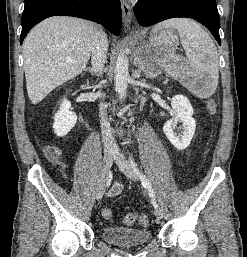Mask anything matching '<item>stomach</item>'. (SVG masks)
Returning <instances> with one entry per match:
<instances>
[{"label": "stomach", "mask_w": 247, "mask_h": 257, "mask_svg": "<svg viewBox=\"0 0 247 257\" xmlns=\"http://www.w3.org/2000/svg\"><path fill=\"white\" fill-rule=\"evenodd\" d=\"M145 38L144 33L139 36L140 47L135 51V61L143 71L148 72L159 63L169 69L173 77L181 79L188 88L194 89L197 86L198 82L193 80L187 63L176 57L177 35L171 28L153 31L147 41Z\"/></svg>", "instance_id": "stomach-1"}]
</instances>
